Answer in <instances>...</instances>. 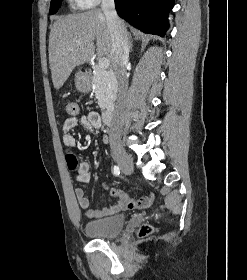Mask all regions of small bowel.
Returning a JSON list of instances; mask_svg holds the SVG:
<instances>
[{"label": "small bowel", "instance_id": "1", "mask_svg": "<svg viewBox=\"0 0 247 280\" xmlns=\"http://www.w3.org/2000/svg\"><path fill=\"white\" fill-rule=\"evenodd\" d=\"M77 126L83 127L91 134H98L101 126V116L90 111L85 114L69 117L63 124V142L66 148L72 149L76 146V139L71 131ZM76 172V180L82 183L90 181L92 176V167L88 162H82L78 165ZM108 189L107 187H105ZM111 196L118 199L117 203L102 209H93L89 207V199L82 188H76L75 195L80 208L85 211V215L89 219H100L117 214L121 211L134 208H143L149 206L153 201V196H145L140 199L132 198L128 193L119 189H108Z\"/></svg>", "mask_w": 247, "mask_h": 280}]
</instances>
